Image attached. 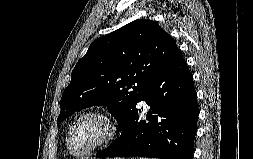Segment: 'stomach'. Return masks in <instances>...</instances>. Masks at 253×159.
I'll list each match as a JSON object with an SVG mask.
<instances>
[{"label":"stomach","mask_w":253,"mask_h":159,"mask_svg":"<svg viewBox=\"0 0 253 159\" xmlns=\"http://www.w3.org/2000/svg\"><path fill=\"white\" fill-rule=\"evenodd\" d=\"M114 159H124V158H114ZM133 159H135V158H133Z\"/></svg>","instance_id":"0dacf381"}]
</instances>
